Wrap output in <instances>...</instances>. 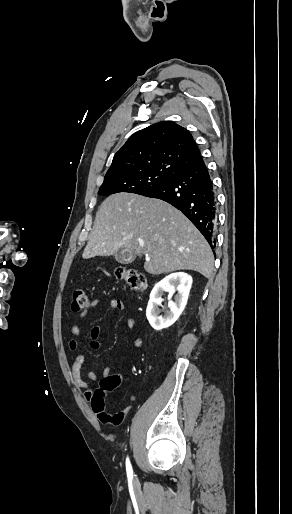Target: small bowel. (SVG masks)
I'll list each match as a JSON object with an SVG mask.
<instances>
[{"label": "small bowel", "mask_w": 292, "mask_h": 514, "mask_svg": "<svg viewBox=\"0 0 292 514\" xmlns=\"http://www.w3.org/2000/svg\"><path fill=\"white\" fill-rule=\"evenodd\" d=\"M104 302H107L108 306L111 309L116 310V311L123 312L126 309V305H125L124 301L120 298L103 299V298L96 297L89 301L86 308L82 312H80L78 316L80 318L85 317L89 310L100 306ZM127 326L130 329H134L135 328V320L133 318H128ZM100 332H101V329H100L99 325L93 326L90 330L89 346L92 350H98L101 346V342L99 339ZM71 334H72L73 338L71 340H69V342H68V349H69V351L74 352L79 348L78 338L82 336V331L79 326L74 325L71 328ZM132 344L134 347L139 348L142 345L141 338L135 337L132 341ZM84 363H85V356L83 354H77L75 356L73 364L71 366L70 374H71V379H72L73 383L75 384V386L78 387L79 389L83 390L84 398L90 399L91 395H92L91 389H90L88 383L83 379ZM102 369L103 370L101 371L100 374L96 373L95 371L89 370L85 373V375L89 380L96 381L99 379V377H105L108 375L109 366L107 364H104L102 366ZM130 400L134 401L135 397L131 396Z\"/></svg>", "instance_id": "c3829d8e"}]
</instances>
